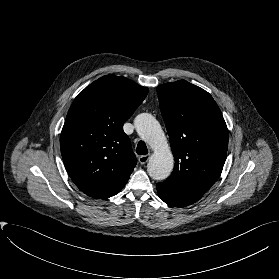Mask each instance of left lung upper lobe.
Segmentation results:
<instances>
[{
  "instance_id": "left-lung-upper-lobe-1",
  "label": "left lung upper lobe",
  "mask_w": 279,
  "mask_h": 279,
  "mask_svg": "<svg viewBox=\"0 0 279 279\" xmlns=\"http://www.w3.org/2000/svg\"><path fill=\"white\" fill-rule=\"evenodd\" d=\"M162 117L175 158L164 182L204 195L221 175L228 148V130L212 96L185 80L157 87Z\"/></svg>"
}]
</instances>
